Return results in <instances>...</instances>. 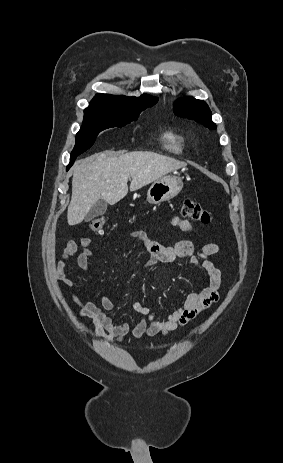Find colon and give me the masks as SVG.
<instances>
[{"instance_id":"5ec220e1","label":"colon","mask_w":283,"mask_h":463,"mask_svg":"<svg viewBox=\"0 0 283 463\" xmlns=\"http://www.w3.org/2000/svg\"><path fill=\"white\" fill-rule=\"evenodd\" d=\"M181 215L195 222L206 224L211 220L209 211L200 203L191 199H185L181 205ZM105 219L101 217L90 219L88 226L93 233L100 234L105 227Z\"/></svg>"}]
</instances>
